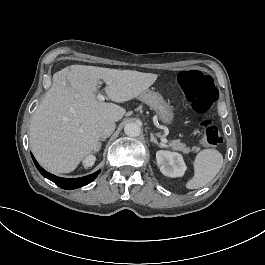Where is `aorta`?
<instances>
[{
    "label": "aorta",
    "instance_id": "obj_1",
    "mask_svg": "<svg viewBox=\"0 0 265 265\" xmlns=\"http://www.w3.org/2000/svg\"><path fill=\"white\" fill-rule=\"evenodd\" d=\"M124 132L129 137H138L141 134V127L135 122H130L125 125Z\"/></svg>",
    "mask_w": 265,
    "mask_h": 265
}]
</instances>
